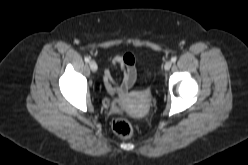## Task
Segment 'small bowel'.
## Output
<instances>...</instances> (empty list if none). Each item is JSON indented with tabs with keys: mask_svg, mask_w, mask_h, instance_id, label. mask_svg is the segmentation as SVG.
<instances>
[{
	"mask_svg": "<svg viewBox=\"0 0 248 165\" xmlns=\"http://www.w3.org/2000/svg\"><path fill=\"white\" fill-rule=\"evenodd\" d=\"M113 64L123 70V77L116 82L110 71L106 70L103 75L104 86L108 93L123 96L136 82V60L133 54L125 53L116 56Z\"/></svg>",
	"mask_w": 248,
	"mask_h": 165,
	"instance_id": "small-bowel-1",
	"label": "small bowel"
}]
</instances>
